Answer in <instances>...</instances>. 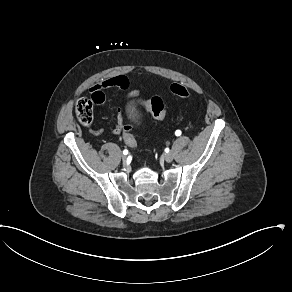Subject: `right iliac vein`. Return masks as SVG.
<instances>
[{"label": "right iliac vein", "instance_id": "right-iliac-vein-1", "mask_svg": "<svg viewBox=\"0 0 292 292\" xmlns=\"http://www.w3.org/2000/svg\"><path fill=\"white\" fill-rule=\"evenodd\" d=\"M122 159L125 160L126 159V155H122Z\"/></svg>", "mask_w": 292, "mask_h": 292}]
</instances>
